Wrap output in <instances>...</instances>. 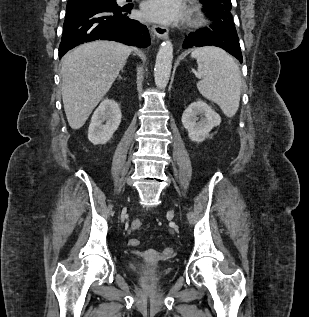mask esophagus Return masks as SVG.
<instances>
[{"mask_svg": "<svg viewBox=\"0 0 309 317\" xmlns=\"http://www.w3.org/2000/svg\"><path fill=\"white\" fill-rule=\"evenodd\" d=\"M152 32L154 35H156L158 38H166L168 36V29L161 25H153L152 26Z\"/></svg>", "mask_w": 309, "mask_h": 317, "instance_id": "34e87169", "label": "esophagus"}]
</instances>
